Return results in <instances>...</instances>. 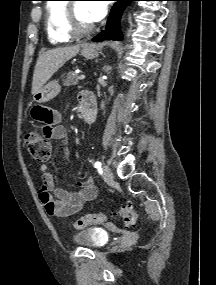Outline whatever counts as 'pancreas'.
Segmentation results:
<instances>
[{
    "instance_id": "obj_1",
    "label": "pancreas",
    "mask_w": 216,
    "mask_h": 285,
    "mask_svg": "<svg viewBox=\"0 0 216 285\" xmlns=\"http://www.w3.org/2000/svg\"><path fill=\"white\" fill-rule=\"evenodd\" d=\"M78 81H79V76L74 72H69L66 75V79L64 80L63 85L64 86L77 85Z\"/></svg>"
}]
</instances>
